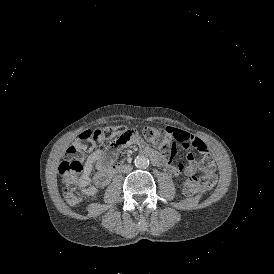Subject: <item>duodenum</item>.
<instances>
[{"mask_svg":"<svg viewBox=\"0 0 274 274\" xmlns=\"http://www.w3.org/2000/svg\"><path fill=\"white\" fill-rule=\"evenodd\" d=\"M142 154L149 156L151 159L155 160L156 159V154L153 150L146 148L142 150ZM121 167L120 163H117L114 165V170H118Z\"/></svg>","mask_w":274,"mask_h":274,"instance_id":"duodenum-1","label":"duodenum"}]
</instances>
